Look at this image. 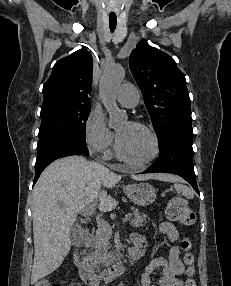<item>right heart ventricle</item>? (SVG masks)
Returning a JSON list of instances; mask_svg holds the SVG:
<instances>
[{
	"mask_svg": "<svg viewBox=\"0 0 231 286\" xmlns=\"http://www.w3.org/2000/svg\"><path fill=\"white\" fill-rule=\"evenodd\" d=\"M107 157H110V154H107Z\"/></svg>",
	"mask_w": 231,
	"mask_h": 286,
	"instance_id": "obj_1",
	"label": "right heart ventricle"
}]
</instances>
